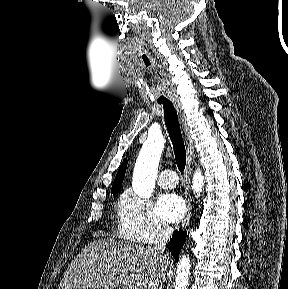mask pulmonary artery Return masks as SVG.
Wrapping results in <instances>:
<instances>
[{"instance_id": "1", "label": "pulmonary artery", "mask_w": 288, "mask_h": 289, "mask_svg": "<svg viewBox=\"0 0 288 289\" xmlns=\"http://www.w3.org/2000/svg\"><path fill=\"white\" fill-rule=\"evenodd\" d=\"M158 184L164 189L174 188L177 184L175 172L169 169L163 170L159 176Z\"/></svg>"}]
</instances>
